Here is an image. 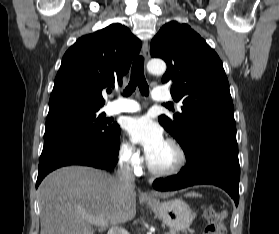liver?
<instances>
[{
  "label": "liver",
  "instance_id": "6515ba94",
  "mask_svg": "<svg viewBox=\"0 0 279 234\" xmlns=\"http://www.w3.org/2000/svg\"><path fill=\"white\" fill-rule=\"evenodd\" d=\"M40 234H93L84 215L103 217L108 224L126 222L136 215V192L118 178L90 167L71 166L49 174L38 189ZM167 198L168 193L153 192Z\"/></svg>",
  "mask_w": 279,
  "mask_h": 234
}]
</instances>
